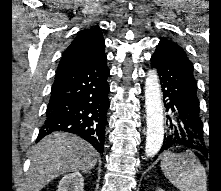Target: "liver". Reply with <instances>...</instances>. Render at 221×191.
Masks as SVG:
<instances>
[{"instance_id":"1","label":"liver","mask_w":221,"mask_h":191,"mask_svg":"<svg viewBox=\"0 0 221 191\" xmlns=\"http://www.w3.org/2000/svg\"><path fill=\"white\" fill-rule=\"evenodd\" d=\"M96 162L97 152L85 140L68 133H52L33 148L27 191H40L61 174L88 172Z\"/></svg>"}]
</instances>
